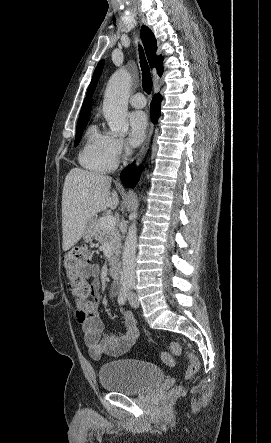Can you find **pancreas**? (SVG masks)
Returning <instances> with one entry per match:
<instances>
[{
	"instance_id": "1",
	"label": "pancreas",
	"mask_w": 271,
	"mask_h": 443,
	"mask_svg": "<svg viewBox=\"0 0 271 443\" xmlns=\"http://www.w3.org/2000/svg\"><path fill=\"white\" fill-rule=\"evenodd\" d=\"M94 235L95 239L104 243V241H109L110 247L114 253H118L120 249V239L118 237V231L115 227H110V229H104L101 225V218L95 220L94 222Z\"/></svg>"
}]
</instances>
